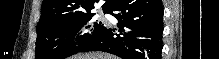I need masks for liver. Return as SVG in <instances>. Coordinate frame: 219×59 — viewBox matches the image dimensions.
<instances>
[{"label": "liver", "instance_id": "liver-1", "mask_svg": "<svg viewBox=\"0 0 219 59\" xmlns=\"http://www.w3.org/2000/svg\"><path fill=\"white\" fill-rule=\"evenodd\" d=\"M70 59H118L111 54L101 53V52H91L87 54H78L71 57Z\"/></svg>", "mask_w": 219, "mask_h": 59}]
</instances>
